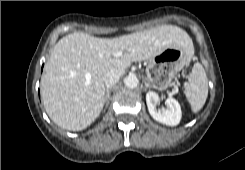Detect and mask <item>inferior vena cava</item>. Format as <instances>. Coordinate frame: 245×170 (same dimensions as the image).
<instances>
[{
	"instance_id": "602c4592",
	"label": "inferior vena cava",
	"mask_w": 245,
	"mask_h": 170,
	"mask_svg": "<svg viewBox=\"0 0 245 170\" xmlns=\"http://www.w3.org/2000/svg\"><path fill=\"white\" fill-rule=\"evenodd\" d=\"M123 74H124V71L111 70L107 72L104 76V82H105L106 87L110 88L113 85H115Z\"/></svg>"
}]
</instances>
